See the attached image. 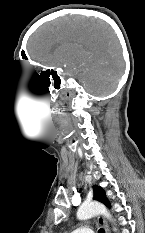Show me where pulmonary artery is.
I'll use <instances>...</instances> for the list:
<instances>
[{
  "mask_svg": "<svg viewBox=\"0 0 145 233\" xmlns=\"http://www.w3.org/2000/svg\"><path fill=\"white\" fill-rule=\"evenodd\" d=\"M71 233H95L91 228L80 227L73 230Z\"/></svg>",
  "mask_w": 145,
  "mask_h": 233,
  "instance_id": "pulmonary-artery-1",
  "label": "pulmonary artery"
}]
</instances>
